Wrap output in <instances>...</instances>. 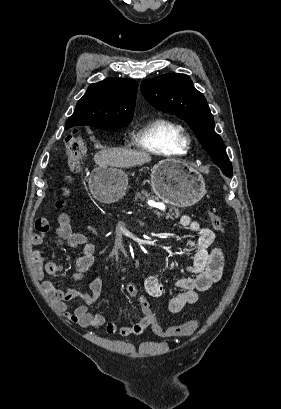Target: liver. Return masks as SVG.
Masks as SVG:
<instances>
[{
    "mask_svg": "<svg viewBox=\"0 0 281 409\" xmlns=\"http://www.w3.org/2000/svg\"><path fill=\"white\" fill-rule=\"evenodd\" d=\"M94 160L99 166H120V168H130L137 164H145L152 160L150 154L145 150H129V148H110L101 150L94 154Z\"/></svg>",
    "mask_w": 281,
    "mask_h": 409,
    "instance_id": "6515ba94",
    "label": "liver"
}]
</instances>
